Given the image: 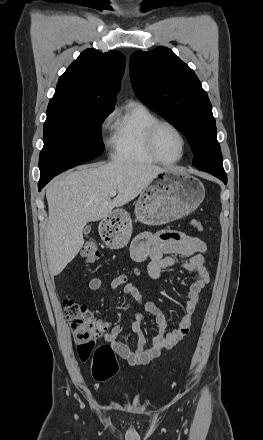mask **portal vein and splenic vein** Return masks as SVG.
Listing matches in <instances>:
<instances>
[{
	"label": "portal vein and splenic vein",
	"mask_w": 263,
	"mask_h": 440,
	"mask_svg": "<svg viewBox=\"0 0 263 440\" xmlns=\"http://www.w3.org/2000/svg\"><path fill=\"white\" fill-rule=\"evenodd\" d=\"M116 193H117V191H112V192L110 193V197H114V196L116 195Z\"/></svg>",
	"instance_id": "portal-vein-and-splenic-vein-1"
}]
</instances>
